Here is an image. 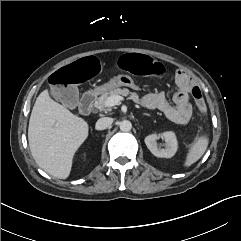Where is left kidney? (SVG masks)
<instances>
[{"instance_id":"1","label":"left kidney","mask_w":241,"mask_h":241,"mask_svg":"<svg viewBox=\"0 0 241 241\" xmlns=\"http://www.w3.org/2000/svg\"><path fill=\"white\" fill-rule=\"evenodd\" d=\"M162 138L165 141V148H159L157 144V140ZM145 144L150 152L160 158H171L175 155L177 151V139L176 135L171 132H164L162 134H151L145 138Z\"/></svg>"}]
</instances>
